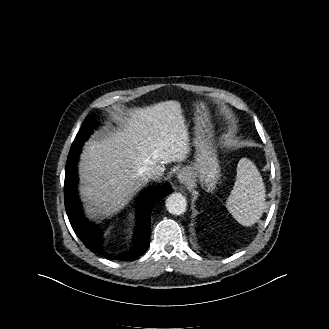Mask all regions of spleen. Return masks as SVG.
Here are the masks:
<instances>
[{"instance_id": "obj_1", "label": "spleen", "mask_w": 329, "mask_h": 329, "mask_svg": "<svg viewBox=\"0 0 329 329\" xmlns=\"http://www.w3.org/2000/svg\"><path fill=\"white\" fill-rule=\"evenodd\" d=\"M265 196V186L257 167L251 160L241 158L233 190L226 200L227 210L238 223L251 226L266 208Z\"/></svg>"}]
</instances>
